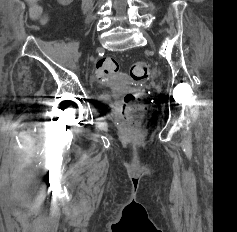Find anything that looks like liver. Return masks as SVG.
I'll return each mask as SVG.
<instances>
[{
  "label": "liver",
  "instance_id": "obj_1",
  "mask_svg": "<svg viewBox=\"0 0 237 232\" xmlns=\"http://www.w3.org/2000/svg\"><path fill=\"white\" fill-rule=\"evenodd\" d=\"M27 1H37V0H27Z\"/></svg>",
  "mask_w": 237,
  "mask_h": 232
}]
</instances>
